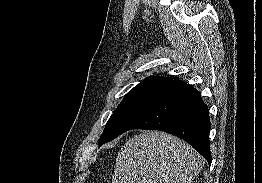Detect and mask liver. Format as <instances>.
<instances>
[{"mask_svg":"<svg viewBox=\"0 0 262 183\" xmlns=\"http://www.w3.org/2000/svg\"><path fill=\"white\" fill-rule=\"evenodd\" d=\"M203 165L204 159L178 137L146 131L121 148L112 183H191Z\"/></svg>","mask_w":262,"mask_h":183,"instance_id":"6515ba94","label":"liver"}]
</instances>
